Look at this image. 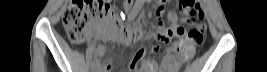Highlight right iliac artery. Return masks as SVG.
<instances>
[{
  "label": "right iliac artery",
  "instance_id": "1",
  "mask_svg": "<svg viewBox=\"0 0 267 72\" xmlns=\"http://www.w3.org/2000/svg\"><path fill=\"white\" fill-rule=\"evenodd\" d=\"M143 4H144V1H143V0H138V1L135 3V5H134V7H133V9H132V11H131L129 17H128L129 20L133 19V18L138 14V12L140 11V9H141V7L143 6ZM95 64H96V61L94 60V61L91 63V66H94Z\"/></svg>",
  "mask_w": 267,
  "mask_h": 72
}]
</instances>
